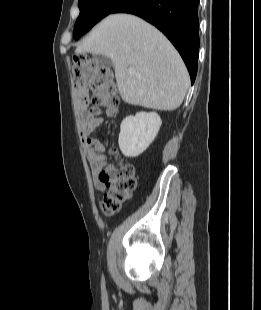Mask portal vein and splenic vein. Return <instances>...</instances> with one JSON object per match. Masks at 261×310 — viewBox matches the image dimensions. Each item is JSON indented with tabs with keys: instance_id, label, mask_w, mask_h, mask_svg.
<instances>
[{
	"instance_id": "portal-vein-and-splenic-vein-1",
	"label": "portal vein and splenic vein",
	"mask_w": 261,
	"mask_h": 310,
	"mask_svg": "<svg viewBox=\"0 0 261 310\" xmlns=\"http://www.w3.org/2000/svg\"><path fill=\"white\" fill-rule=\"evenodd\" d=\"M128 71H129V73H135V69L134 68H129Z\"/></svg>"
}]
</instances>
